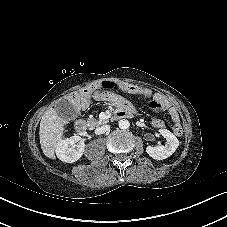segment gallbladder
Listing matches in <instances>:
<instances>
[{"instance_id":"obj_1","label":"gallbladder","mask_w":227,"mask_h":227,"mask_svg":"<svg viewBox=\"0 0 227 227\" xmlns=\"http://www.w3.org/2000/svg\"><path fill=\"white\" fill-rule=\"evenodd\" d=\"M56 109L66 118H73L77 115V110L67 99L60 100L56 105Z\"/></svg>"}]
</instances>
